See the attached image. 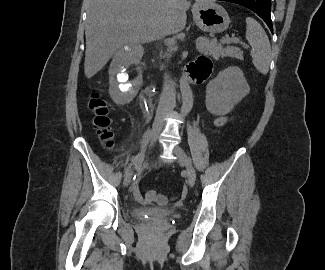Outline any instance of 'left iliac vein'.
I'll use <instances>...</instances> for the list:
<instances>
[{
    "label": "left iliac vein",
    "instance_id": "4c4485c4",
    "mask_svg": "<svg viewBox=\"0 0 325 270\" xmlns=\"http://www.w3.org/2000/svg\"><path fill=\"white\" fill-rule=\"evenodd\" d=\"M174 153L178 157L179 161L184 163L187 171L188 184L190 187H193L196 181V171L194 169L191 159L187 156L185 151L179 146H176L174 148Z\"/></svg>",
    "mask_w": 325,
    "mask_h": 270
}]
</instances>
